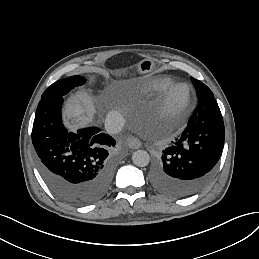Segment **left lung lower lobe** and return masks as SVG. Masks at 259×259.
<instances>
[{"instance_id":"1","label":"left lung lower lobe","mask_w":259,"mask_h":259,"mask_svg":"<svg viewBox=\"0 0 259 259\" xmlns=\"http://www.w3.org/2000/svg\"><path fill=\"white\" fill-rule=\"evenodd\" d=\"M197 109L179 138L163 151L150 172L160 193L176 198L190 196L211 179L223 146V118L212 94L198 98Z\"/></svg>"}]
</instances>
